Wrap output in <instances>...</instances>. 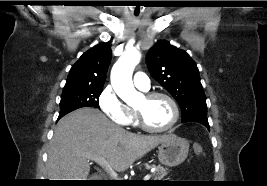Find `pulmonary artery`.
Wrapping results in <instances>:
<instances>
[{
	"instance_id": "obj_1",
	"label": "pulmonary artery",
	"mask_w": 267,
	"mask_h": 186,
	"mask_svg": "<svg viewBox=\"0 0 267 186\" xmlns=\"http://www.w3.org/2000/svg\"><path fill=\"white\" fill-rule=\"evenodd\" d=\"M133 82L141 90H148L150 88V79L143 72H137L133 77Z\"/></svg>"
}]
</instances>
